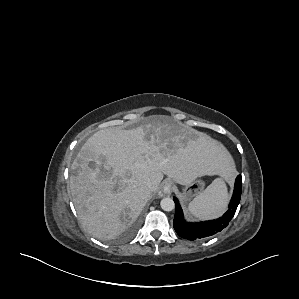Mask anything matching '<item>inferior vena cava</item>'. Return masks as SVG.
Wrapping results in <instances>:
<instances>
[{"label": "inferior vena cava", "instance_id": "obj_1", "mask_svg": "<svg viewBox=\"0 0 299 299\" xmlns=\"http://www.w3.org/2000/svg\"><path fill=\"white\" fill-rule=\"evenodd\" d=\"M146 187L148 188V190H152V184L150 182L146 183Z\"/></svg>", "mask_w": 299, "mask_h": 299}]
</instances>
